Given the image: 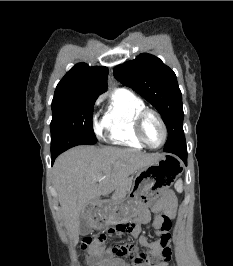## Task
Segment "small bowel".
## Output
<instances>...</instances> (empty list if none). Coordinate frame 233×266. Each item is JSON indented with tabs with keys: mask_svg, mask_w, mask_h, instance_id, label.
Returning a JSON list of instances; mask_svg holds the SVG:
<instances>
[{
	"mask_svg": "<svg viewBox=\"0 0 233 266\" xmlns=\"http://www.w3.org/2000/svg\"><path fill=\"white\" fill-rule=\"evenodd\" d=\"M152 211L155 213H162L170 220L175 216L176 201L171 193H168L162 200L156 202L152 206ZM149 220V214L146 210L139 213L138 221L146 222ZM171 227L167 229L162 228L160 219L155 218L153 221V228L156 238L149 242L144 235H142L139 226L132 232L133 236L138 240L139 249L134 246V251L145 254L149 257H155L159 261L153 266H168V261L171 257ZM88 266H151L148 262L131 264L125 262L121 257L112 256L108 247H104L103 243H94L90 246L88 255L86 257Z\"/></svg>",
	"mask_w": 233,
	"mask_h": 266,
	"instance_id": "obj_1",
	"label": "small bowel"
}]
</instances>
